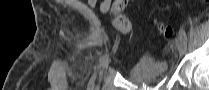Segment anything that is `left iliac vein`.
Instances as JSON below:
<instances>
[{
    "label": "left iliac vein",
    "mask_w": 209,
    "mask_h": 90,
    "mask_svg": "<svg viewBox=\"0 0 209 90\" xmlns=\"http://www.w3.org/2000/svg\"><path fill=\"white\" fill-rule=\"evenodd\" d=\"M175 45L179 53L183 55L186 51V42H184L182 39H177L175 41Z\"/></svg>",
    "instance_id": "1"
}]
</instances>
